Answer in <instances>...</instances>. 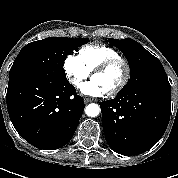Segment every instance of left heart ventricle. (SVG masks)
<instances>
[{
    "label": "left heart ventricle",
    "instance_id": "obj_1",
    "mask_svg": "<svg viewBox=\"0 0 178 178\" xmlns=\"http://www.w3.org/2000/svg\"><path fill=\"white\" fill-rule=\"evenodd\" d=\"M123 76L124 67L119 64L113 66L104 73L95 75L93 79L98 81L106 89V91L109 92L121 82Z\"/></svg>",
    "mask_w": 178,
    "mask_h": 178
}]
</instances>
